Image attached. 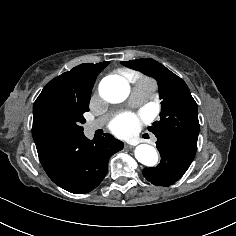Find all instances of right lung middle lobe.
<instances>
[{
	"label": "right lung middle lobe",
	"instance_id": "right-lung-middle-lobe-1",
	"mask_svg": "<svg viewBox=\"0 0 236 236\" xmlns=\"http://www.w3.org/2000/svg\"><path fill=\"white\" fill-rule=\"evenodd\" d=\"M89 111V101L84 103H59L43 101L33 107L32 135L35 144L53 138H66L83 133V114Z\"/></svg>",
	"mask_w": 236,
	"mask_h": 236
}]
</instances>
